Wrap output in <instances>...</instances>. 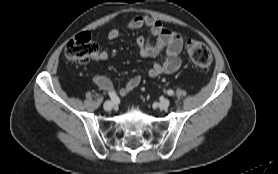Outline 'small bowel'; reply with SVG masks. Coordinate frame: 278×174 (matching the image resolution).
<instances>
[{
    "mask_svg": "<svg viewBox=\"0 0 278 174\" xmlns=\"http://www.w3.org/2000/svg\"><path fill=\"white\" fill-rule=\"evenodd\" d=\"M126 27L130 29H139L147 27L150 30V38L138 36L136 39L139 54L143 58H156L162 56L160 62L154 63L147 71L150 78H155L162 74H172L181 66L180 53L182 51V37L175 31H172L151 15H139L130 20ZM121 34L119 27L112 28L108 33V38L114 40ZM154 39V40H153ZM93 61H106L109 53L106 50L95 52L91 56ZM94 84L101 90L108 93L127 95L134 90L141 82L140 76L131 77L126 84L116 90L113 82L106 76L96 75L93 77Z\"/></svg>",
    "mask_w": 278,
    "mask_h": 174,
    "instance_id": "obj_1",
    "label": "small bowel"
}]
</instances>
